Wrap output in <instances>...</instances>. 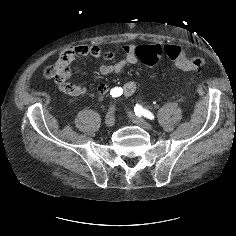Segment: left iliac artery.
Instances as JSON below:
<instances>
[{"label":"left iliac artery","mask_w":236,"mask_h":236,"mask_svg":"<svg viewBox=\"0 0 236 236\" xmlns=\"http://www.w3.org/2000/svg\"><path fill=\"white\" fill-rule=\"evenodd\" d=\"M134 112H135V115L138 117L144 116L150 120H154L155 118L154 115L150 111L144 109L139 104H136V106L134 107Z\"/></svg>","instance_id":"left-iliac-artery-1"}]
</instances>
